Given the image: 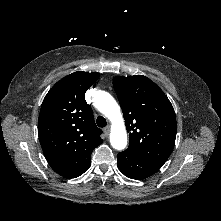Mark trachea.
<instances>
[{
	"instance_id": "obj_1",
	"label": "trachea",
	"mask_w": 221,
	"mask_h": 221,
	"mask_svg": "<svg viewBox=\"0 0 221 221\" xmlns=\"http://www.w3.org/2000/svg\"><path fill=\"white\" fill-rule=\"evenodd\" d=\"M96 122H97L98 127H101V128L107 125L106 119L102 116L97 117Z\"/></svg>"
}]
</instances>
